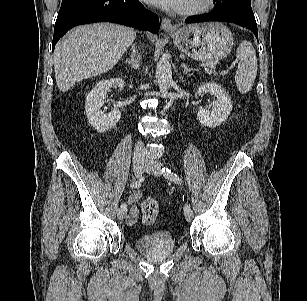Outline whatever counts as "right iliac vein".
Segmentation results:
<instances>
[{"instance_id": "63e3f726", "label": "right iliac vein", "mask_w": 307, "mask_h": 301, "mask_svg": "<svg viewBox=\"0 0 307 301\" xmlns=\"http://www.w3.org/2000/svg\"><path fill=\"white\" fill-rule=\"evenodd\" d=\"M144 168H145V161L143 157L142 156L135 157L133 159V172L137 178L142 176ZM125 215H126V210L120 208L117 212V218L119 220H122L125 218Z\"/></svg>"}]
</instances>
